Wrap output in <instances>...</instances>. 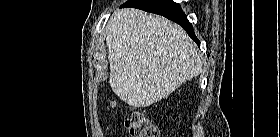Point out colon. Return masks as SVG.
<instances>
[{"instance_id":"obj_1","label":"colon","mask_w":280,"mask_h":137,"mask_svg":"<svg viewBox=\"0 0 280 137\" xmlns=\"http://www.w3.org/2000/svg\"><path fill=\"white\" fill-rule=\"evenodd\" d=\"M114 106V102L109 103ZM125 125L132 137H157L159 129L148 119L143 111L136 109L125 118Z\"/></svg>"}]
</instances>
